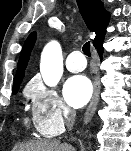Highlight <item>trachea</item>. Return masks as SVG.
I'll list each match as a JSON object with an SVG mask.
<instances>
[{"instance_id":"1","label":"trachea","mask_w":131,"mask_h":151,"mask_svg":"<svg viewBox=\"0 0 131 151\" xmlns=\"http://www.w3.org/2000/svg\"><path fill=\"white\" fill-rule=\"evenodd\" d=\"M84 54L88 57H91V52H90V42H86L84 45H83V48H82Z\"/></svg>"}]
</instances>
